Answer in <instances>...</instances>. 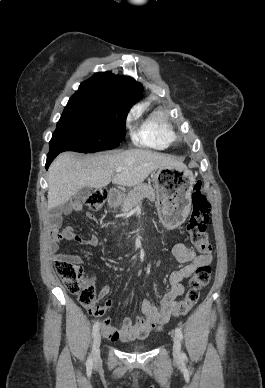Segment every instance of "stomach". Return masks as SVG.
I'll use <instances>...</instances> for the list:
<instances>
[{
  "instance_id": "obj_1",
  "label": "stomach",
  "mask_w": 265,
  "mask_h": 388,
  "mask_svg": "<svg viewBox=\"0 0 265 388\" xmlns=\"http://www.w3.org/2000/svg\"><path fill=\"white\" fill-rule=\"evenodd\" d=\"M193 173L184 167H162L155 173L156 206L163 224L176 228L191 209Z\"/></svg>"
}]
</instances>
